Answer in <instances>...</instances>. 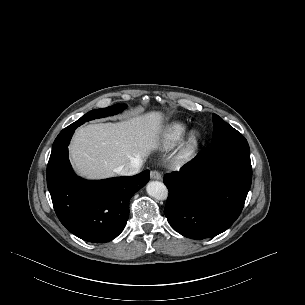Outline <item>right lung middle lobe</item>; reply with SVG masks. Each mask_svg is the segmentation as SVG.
<instances>
[{
    "label": "right lung middle lobe",
    "instance_id": "1",
    "mask_svg": "<svg viewBox=\"0 0 305 305\" xmlns=\"http://www.w3.org/2000/svg\"><path fill=\"white\" fill-rule=\"evenodd\" d=\"M126 107H127V105H125V104H115L111 107L92 110V111L86 113L85 115H83L80 119H78L74 123L80 122L81 124H83L87 121H90V120H93L96 118L111 116V115L117 114L119 112H122Z\"/></svg>",
    "mask_w": 305,
    "mask_h": 305
}]
</instances>
